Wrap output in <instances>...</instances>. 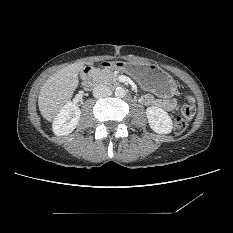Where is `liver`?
Masks as SVG:
<instances>
[{
    "instance_id": "obj_1",
    "label": "liver",
    "mask_w": 233,
    "mask_h": 233,
    "mask_svg": "<svg viewBox=\"0 0 233 233\" xmlns=\"http://www.w3.org/2000/svg\"><path fill=\"white\" fill-rule=\"evenodd\" d=\"M84 63L68 65L45 81L38 96L41 115L49 122L55 120L79 85L78 74Z\"/></svg>"
}]
</instances>
